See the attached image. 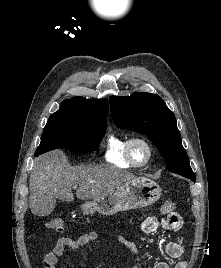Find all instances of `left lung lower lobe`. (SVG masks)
Listing matches in <instances>:
<instances>
[{"instance_id": "0a47b994", "label": "left lung lower lobe", "mask_w": 221, "mask_h": 268, "mask_svg": "<svg viewBox=\"0 0 221 268\" xmlns=\"http://www.w3.org/2000/svg\"><path fill=\"white\" fill-rule=\"evenodd\" d=\"M185 177L191 179L192 181H195V179H196L194 173L193 174L186 175Z\"/></svg>"}]
</instances>
